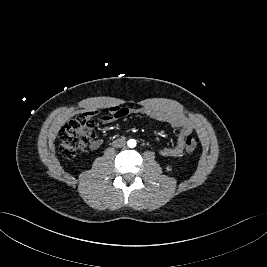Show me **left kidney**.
Wrapping results in <instances>:
<instances>
[{
    "label": "left kidney",
    "instance_id": "1",
    "mask_svg": "<svg viewBox=\"0 0 267 267\" xmlns=\"http://www.w3.org/2000/svg\"><path fill=\"white\" fill-rule=\"evenodd\" d=\"M166 170H167V171H171L172 169H171L170 166H167V167H166Z\"/></svg>",
    "mask_w": 267,
    "mask_h": 267
}]
</instances>
